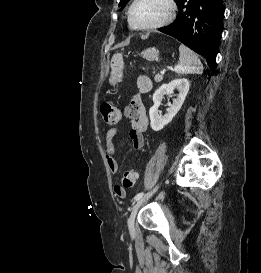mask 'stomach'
<instances>
[{
  "mask_svg": "<svg viewBox=\"0 0 261 273\" xmlns=\"http://www.w3.org/2000/svg\"><path fill=\"white\" fill-rule=\"evenodd\" d=\"M142 56L143 58L149 60V61H154L156 59H158L159 56V51L154 48H148L146 50H144L142 52ZM123 58L121 54H115L112 59H111V63H110V78H109V82L112 85H115L116 83L120 82L122 80L123 77Z\"/></svg>",
  "mask_w": 261,
  "mask_h": 273,
  "instance_id": "stomach-1",
  "label": "stomach"
}]
</instances>
